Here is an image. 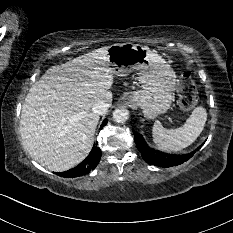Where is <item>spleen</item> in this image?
I'll list each match as a JSON object with an SVG mask.
<instances>
[{
	"mask_svg": "<svg viewBox=\"0 0 233 233\" xmlns=\"http://www.w3.org/2000/svg\"><path fill=\"white\" fill-rule=\"evenodd\" d=\"M207 120L204 107H196L185 124L179 128L166 129L159 121L153 125L152 135L156 146L164 151L177 152L190 146L201 134Z\"/></svg>",
	"mask_w": 233,
	"mask_h": 233,
	"instance_id": "obj_1",
	"label": "spleen"
}]
</instances>
